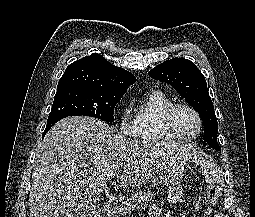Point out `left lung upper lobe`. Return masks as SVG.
<instances>
[{"mask_svg": "<svg viewBox=\"0 0 255 217\" xmlns=\"http://www.w3.org/2000/svg\"><path fill=\"white\" fill-rule=\"evenodd\" d=\"M149 75L170 84L200 115L204 125V141L221 151L217 143V119L208 93L205 77L188 59L173 58L149 71Z\"/></svg>", "mask_w": 255, "mask_h": 217, "instance_id": "obj_1", "label": "left lung upper lobe"}]
</instances>
